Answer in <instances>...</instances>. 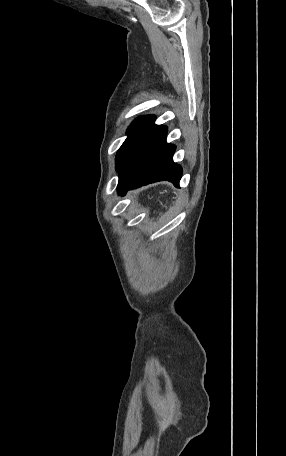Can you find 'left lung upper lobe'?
<instances>
[{"label":"left lung upper lobe","mask_w":286,"mask_h":456,"mask_svg":"<svg viewBox=\"0 0 286 456\" xmlns=\"http://www.w3.org/2000/svg\"><path fill=\"white\" fill-rule=\"evenodd\" d=\"M155 120L154 116H143L137 118L128 128V137L119 148L116 155V170L119 169L123 158L125 157L129 147L138 138V136L148 128Z\"/></svg>","instance_id":"obj_1"}]
</instances>
